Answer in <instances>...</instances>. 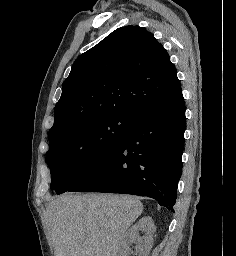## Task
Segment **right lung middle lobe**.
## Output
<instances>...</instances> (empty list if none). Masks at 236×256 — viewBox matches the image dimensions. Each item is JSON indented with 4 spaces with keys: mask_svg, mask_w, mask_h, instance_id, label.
I'll return each instance as SVG.
<instances>
[{
    "mask_svg": "<svg viewBox=\"0 0 236 256\" xmlns=\"http://www.w3.org/2000/svg\"><path fill=\"white\" fill-rule=\"evenodd\" d=\"M135 121L109 116L73 124L49 135L46 161L51 170L50 188L57 194L66 192L120 144Z\"/></svg>",
    "mask_w": 236,
    "mask_h": 256,
    "instance_id": "obj_1",
    "label": "right lung middle lobe"
}]
</instances>
